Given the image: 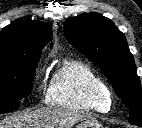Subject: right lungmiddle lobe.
Instances as JSON below:
<instances>
[{
	"label": "right lung middle lobe",
	"instance_id": "1",
	"mask_svg": "<svg viewBox=\"0 0 142 128\" xmlns=\"http://www.w3.org/2000/svg\"><path fill=\"white\" fill-rule=\"evenodd\" d=\"M38 61H31L13 75L0 74V114L16 110L19 100L30 94Z\"/></svg>",
	"mask_w": 142,
	"mask_h": 128
}]
</instances>
